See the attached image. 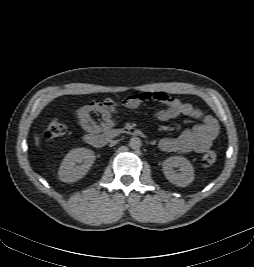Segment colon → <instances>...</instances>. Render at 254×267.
I'll use <instances>...</instances> for the list:
<instances>
[{
    "mask_svg": "<svg viewBox=\"0 0 254 267\" xmlns=\"http://www.w3.org/2000/svg\"><path fill=\"white\" fill-rule=\"evenodd\" d=\"M67 129V125L64 122L54 119L48 124L44 136L48 140H53L63 136L67 132ZM216 160L217 155L213 151H209L202 157V164L204 166H211Z\"/></svg>",
    "mask_w": 254,
    "mask_h": 267,
    "instance_id": "1",
    "label": "colon"
}]
</instances>
